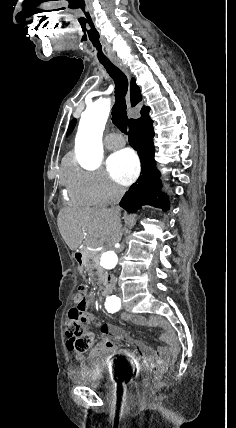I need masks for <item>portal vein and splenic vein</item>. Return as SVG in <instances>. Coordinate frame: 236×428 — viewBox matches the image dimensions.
I'll use <instances>...</instances> for the list:
<instances>
[{"instance_id":"1","label":"portal vein and splenic vein","mask_w":236,"mask_h":428,"mask_svg":"<svg viewBox=\"0 0 236 428\" xmlns=\"http://www.w3.org/2000/svg\"><path fill=\"white\" fill-rule=\"evenodd\" d=\"M92 246H96V244H92Z\"/></svg>"}]
</instances>
